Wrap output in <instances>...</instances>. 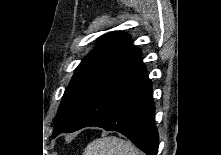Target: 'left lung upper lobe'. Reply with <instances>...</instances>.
Returning a JSON list of instances; mask_svg holds the SVG:
<instances>
[{
    "label": "left lung upper lobe",
    "instance_id": "obj_1",
    "mask_svg": "<svg viewBox=\"0 0 221 155\" xmlns=\"http://www.w3.org/2000/svg\"><path fill=\"white\" fill-rule=\"evenodd\" d=\"M139 53L122 32L101 36L97 47L79 64L66 88L58 109V123L53 135L68 127L96 88L118 67Z\"/></svg>",
    "mask_w": 221,
    "mask_h": 155
}]
</instances>
